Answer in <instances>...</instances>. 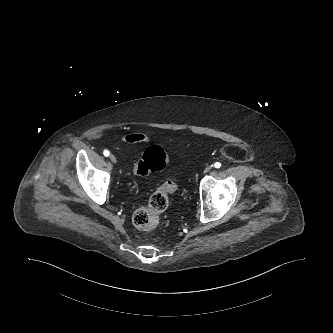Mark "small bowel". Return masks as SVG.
I'll list each match as a JSON object with an SVG mask.
<instances>
[{
  "mask_svg": "<svg viewBox=\"0 0 333 333\" xmlns=\"http://www.w3.org/2000/svg\"><path fill=\"white\" fill-rule=\"evenodd\" d=\"M121 140L126 143L134 144V143L148 142L149 138L148 136L142 133H129L123 135L121 137Z\"/></svg>",
  "mask_w": 333,
  "mask_h": 333,
  "instance_id": "1",
  "label": "small bowel"
}]
</instances>
